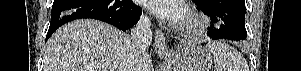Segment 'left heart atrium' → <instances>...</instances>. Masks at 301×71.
<instances>
[{
  "mask_svg": "<svg viewBox=\"0 0 301 71\" xmlns=\"http://www.w3.org/2000/svg\"><path fill=\"white\" fill-rule=\"evenodd\" d=\"M142 4L154 14L181 25L186 19V9L179 0H143Z\"/></svg>",
  "mask_w": 301,
  "mask_h": 71,
  "instance_id": "1",
  "label": "left heart atrium"
}]
</instances>
